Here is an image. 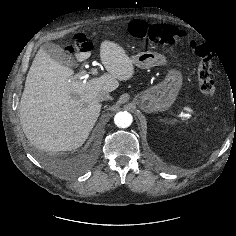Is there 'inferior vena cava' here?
Here are the masks:
<instances>
[{
	"label": "inferior vena cava",
	"mask_w": 236,
	"mask_h": 236,
	"mask_svg": "<svg viewBox=\"0 0 236 236\" xmlns=\"http://www.w3.org/2000/svg\"><path fill=\"white\" fill-rule=\"evenodd\" d=\"M109 99H111V97H110V95H109L108 93H106V92H101V93H99V94L97 95V100H98L99 102L107 101V100H109Z\"/></svg>",
	"instance_id": "602c4592"
}]
</instances>
